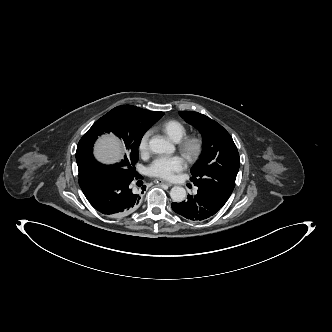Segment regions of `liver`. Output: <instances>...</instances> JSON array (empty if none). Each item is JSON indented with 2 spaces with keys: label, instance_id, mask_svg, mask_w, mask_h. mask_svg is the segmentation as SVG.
<instances>
[{
  "label": "liver",
  "instance_id": "6515ba94",
  "mask_svg": "<svg viewBox=\"0 0 332 332\" xmlns=\"http://www.w3.org/2000/svg\"><path fill=\"white\" fill-rule=\"evenodd\" d=\"M95 155L105 163L117 162L121 157L119 141L112 134L103 136L95 146Z\"/></svg>",
  "mask_w": 332,
  "mask_h": 332
}]
</instances>
